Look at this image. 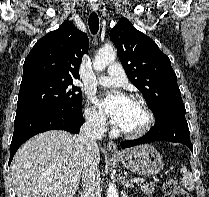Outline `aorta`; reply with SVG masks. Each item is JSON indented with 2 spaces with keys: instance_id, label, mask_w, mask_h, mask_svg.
Here are the masks:
<instances>
[{
  "instance_id": "obj_1",
  "label": "aorta",
  "mask_w": 209,
  "mask_h": 197,
  "mask_svg": "<svg viewBox=\"0 0 209 197\" xmlns=\"http://www.w3.org/2000/svg\"><path fill=\"white\" fill-rule=\"evenodd\" d=\"M116 58V51L111 45L105 46L99 50L98 54L96 55L93 67L96 71H102L113 62ZM106 197H118V193L114 184H109V187L106 192Z\"/></svg>"
}]
</instances>
